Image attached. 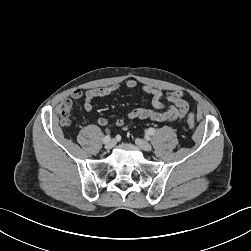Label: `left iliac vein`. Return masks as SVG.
I'll use <instances>...</instances> for the list:
<instances>
[{
	"label": "left iliac vein",
	"instance_id": "4c4485c4",
	"mask_svg": "<svg viewBox=\"0 0 251 251\" xmlns=\"http://www.w3.org/2000/svg\"><path fill=\"white\" fill-rule=\"evenodd\" d=\"M135 143H136V145H137L140 149H142V150H144V151H150V150L152 149L151 144H150L149 142L143 140V139L137 138V139L135 140Z\"/></svg>",
	"mask_w": 251,
	"mask_h": 251
}]
</instances>
